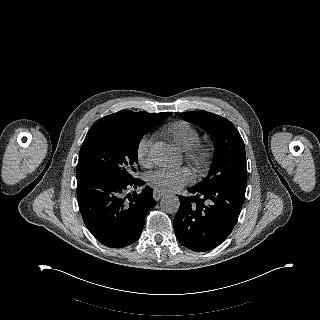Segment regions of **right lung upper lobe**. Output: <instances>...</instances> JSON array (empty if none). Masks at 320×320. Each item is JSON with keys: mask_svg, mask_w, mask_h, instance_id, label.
<instances>
[{"mask_svg": "<svg viewBox=\"0 0 320 320\" xmlns=\"http://www.w3.org/2000/svg\"><path fill=\"white\" fill-rule=\"evenodd\" d=\"M170 113H134L129 110L105 116L95 122L88 131L83 144L102 135L135 136L145 134L166 119Z\"/></svg>", "mask_w": 320, "mask_h": 320, "instance_id": "right-lung-upper-lobe-1", "label": "right lung upper lobe"}]
</instances>
